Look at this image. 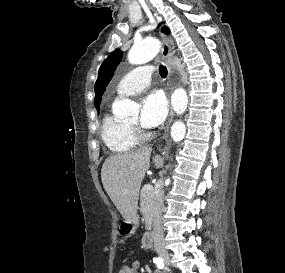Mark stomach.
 <instances>
[{"mask_svg":"<svg viewBox=\"0 0 285 273\" xmlns=\"http://www.w3.org/2000/svg\"><path fill=\"white\" fill-rule=\"evenodd\" d=\"M137 223H138V217L132 221H124L121 225H120V232L122 234H131L132 232H134V230L137 227Z\"/></svg>","mask_w":285,"mask_h":273,"instance_id":"1","label":"stomach"}]
</instances>
